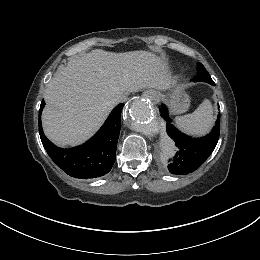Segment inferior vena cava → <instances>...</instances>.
Returning <instances> with one entry per match:
<instances>
[{"mask_svg": "<svg viewBox=\"0 0 260 260\" xmlns=\"http://www.w3.org/2000/svg\"><path fill=\"white\" fill-rule=\"evenodd\" d=\"M127 100L126 95H118L113 99V104L117 105L119 103H123Z\"/></svg>", "mask_w": 260, "mask_h": 260, "instance_id": "602c4592", "label": "inferior vena cava"}]
</instances>
